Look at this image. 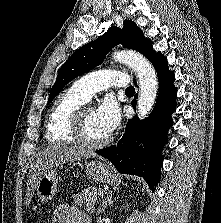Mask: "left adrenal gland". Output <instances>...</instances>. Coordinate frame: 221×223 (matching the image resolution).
<instances>
[{
  "label": "left adrenal gland",
  "mask_w": 221,
  "mask_h": 223,
  "mask_svg": "<svg viewBox=\"0 0 221 223\" xmlns=\"http://www.w3.org/2000/svg\"><path fill=\"white\" fill-rule=\"evenodd\" d=\"M112 191L107 195V197L105 198V200H103L102 206L99 208L97 214L102 213L105 211V209L107 208L108 205H111L113 203L112 200Z\"/></svg>",
  "instance_id": "obj_1"
}]
</instances>
